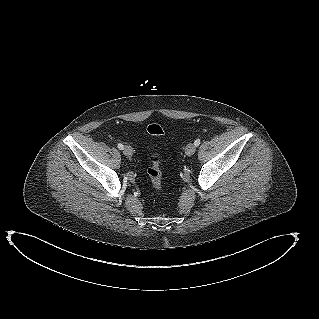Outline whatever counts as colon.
Returning a JSON list of instances; mask_svg holds the SVG:
<instances>
[{"label":"colon","mask_w":319,"mask_h":319,"mask_svg":"<svg viewBox=\"0 0 319 319\" xmlns=\"http://www.w3.org/2000/svg\"><path fill=\"white\" fill-rule=\"evenodd\" d=\"M147 133L150 136L158 137L164 133L163 127L159 123L150 124L147 127ZM162 157L160 153H154L150 156V165L147 169V175L152 183L154 190L162 191V172L160 169Z\"/></svg>","instance_id":"5ec220e1"}]
</instances>
